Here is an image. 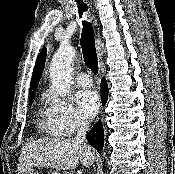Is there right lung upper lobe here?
<instances>
[{
	"label": "right lung upper lobe",
	"mask_w": 175,
	"mask_h": 174,
	"mask_svg": "<svg viewBox=\"0 0 175 174\" xmlns=\"http://www.w3.org/2000/svg\"><path fill=\"white\" fill-rule=\"evenodd\" d=\"M45 59H46V48H43L34 66L33 76L30 84V99L33 98L34 93L37 89L44 68Z\"/></svg>",
	"instance_id": "right-lung-upper-lobe-1"
}]
</instances>
